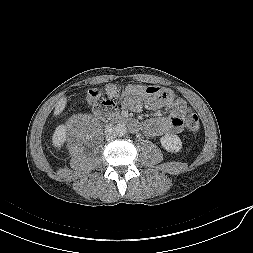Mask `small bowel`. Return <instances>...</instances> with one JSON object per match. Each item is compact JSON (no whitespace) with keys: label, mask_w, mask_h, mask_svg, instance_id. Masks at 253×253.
<instances>
[{"label":"small bowel","mask_w":253,"mask_h":253,"mask_svg":"<svg viewBox=\"0 0 253 253\" xmlns=\"http://www.w3.org/2000/svg\"><path fill=\"white\" fill-rule=\"evenodd\" d=\"M100 104L104 108L119 111L122 108L120 101L102 97ZM123 106L132 111L157 110L171 107L168 117H153L142 125L143 131L149 136H162L169 133H178L183 129V120L189 109L185 101L168 89H164L160 95L138 96L123 100Z\"/></svg>","instance_id":"small-bowel-1"}]
</instances>
